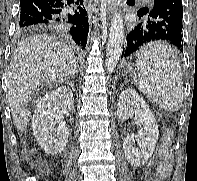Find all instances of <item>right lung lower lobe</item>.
I'll list each match as a JSON object with an SVG mask.
<instances>
[{
	"label": "right lung lower lobe",
	"mask_w": 197,
	"mask_h": 181,
	"mask_svg": "<svg viewBox=\"0 0 197 181\" xmlns=\"http://www.w3.org/2000/svg\"><path fill=\"white\" fill-rule=\"evenodd\" d=\"M84 0H21L20 28L54 29L85 48L89 23Z\"/></svg>",
	"instance_id": "1"
}]
</instances>
